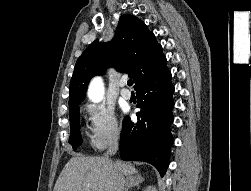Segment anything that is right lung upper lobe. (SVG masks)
I'll list each match as a JSON object with an SVG mask.
<instances>
[{
	"instance_id": "1",
	"label": "right lung upper lobe",
	"mask_w": 251,
	"mask_h": 191,
	"mask_svg": "<svg viewBox=\"0 0 251 191\" xmlns=\"http://www.w3.org/2000/svg\"><path fill=\"white\" fill-rule=\"evenodd\" d=\"M110 65L128 73L134 79L135 90L169 73L155 35L137 17L122 15L110 43L104 46L94 41L78 58L70 83L69 107L84 100L90 79Z\"/></svg>"
}]
</instances>
